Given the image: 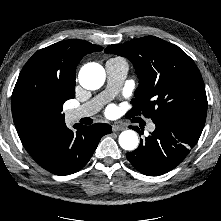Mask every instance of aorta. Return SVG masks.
Listing matches in <instances>:
<instances>
[{
	"label": "aorta",
	"mask_w": 221,
	"mask_h": 221,
	"mask_svg": "<svg viewBox=\"0 0 221 221\" xmlns=\"http://www.w3.org/2000/svg\"><path fill=\"white\" fill-rule=\"evenodd\" d=\"M105 70L98 63L85 64L79 71V82L88 90L99 89L105 81ZM119 145L128 151L138 147V135L133 130H125L119 136Z\"/></svg>",
	"instance_id": "aorta-1"
}]
</instances>
